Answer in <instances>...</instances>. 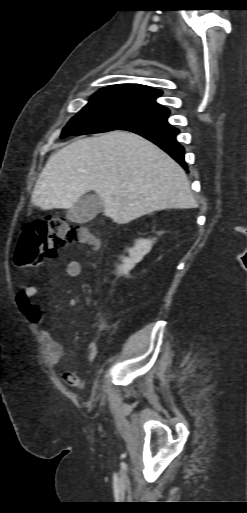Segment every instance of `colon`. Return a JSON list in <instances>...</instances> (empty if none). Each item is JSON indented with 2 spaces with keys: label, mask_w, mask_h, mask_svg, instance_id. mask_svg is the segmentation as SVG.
I'll list each match as a JSON object with an SVG mask.
<instances>
[{
  "label": "colon",
  "mask_w": 247,
  "mask_h": 513,
  "mask_svg": "<svg viewBox=\"0 0 247 513\" xmlns=\"http://www.w3.org/2000/svg\"><path fill=\"white\" fill-rule=\"evenodd\" d=\"M96 239L86 229L70 225L57 217L36 219L25 224L13 254L18 267L43 265L70 243L93 244ZM96 349L97 346L94 345Z\"/></svg>",
  "instance_id": "1"
}]
</instances>
